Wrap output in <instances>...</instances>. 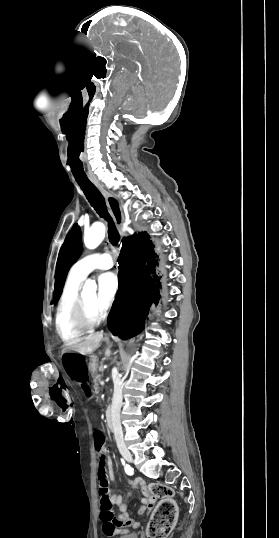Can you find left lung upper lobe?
Here are the masks:
<instances>
[{"label": "left lung upper lobe", "instance_id": "5c2ea615", "mask_svg": "<svg viewBox=\"0 0 279 538\" xmlns=\"http://www.w3.org/2000/svg\"><path fill=\"white\" fill-rule=\"evenodd\" d=\"M81 253L82 233L80 227L77 224H74L59 252L52 303L59 300L67 273L70 267L79 259Z\"/></svg>", "mask_w": 279, "mask_h": 538}]
</instances>
